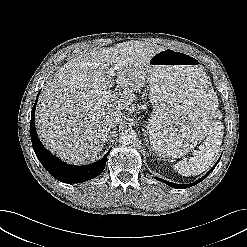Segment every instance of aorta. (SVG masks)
Returning a JSON list of instances; mask_svg holds the SVG:
<instances>
[{"instance_id": "1", "label": "aorta", "mask_w": 247, "mask_h": 247, "mask_svg": "<svg viewBox=\"0 0 247 247\" xmlns=\"http://www.w3.org/2000/svg\"><path fill=\"white\" fill-rule=\"evenodd\" d=\"M119 140L122 144H132L136 140V133L133 130H124L120 133Z\"/></svg>"}]
</instances>
